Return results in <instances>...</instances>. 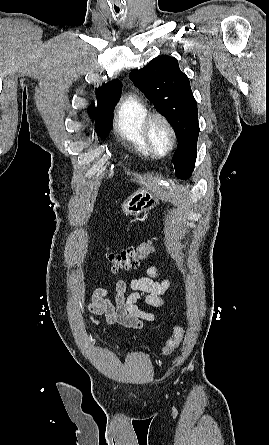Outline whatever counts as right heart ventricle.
Returning a JSON list of instances; mask_svg holds the SVG:
<instances>
[{
	"label": "right heart ventricle",
	"mask_w": 269,
	"mask_h": 445,
	"mask_svg": "<svg viewBox=\"0 0 269 445\" xmlns=\"http://www.w3.org/2000/svg\"><path fill=\"white\" fill-rule=\"evenodd\" d=\"M150 115L148 106L137 96H127L116 112L115 127L118 135L139 154L152 157L143 137V124Z\"/></svg>",
	"instance_id": "right-heart-ventricle-1"
}]
</instances>
